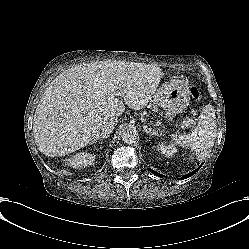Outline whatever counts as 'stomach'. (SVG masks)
Returning a JSON list of instances; mask_svg holds the SVG:
<instances>
[{"mask_svg":"<svg viewBox=\"0 0 249 249\" xmlns=\"http://www.w3.org/2000/svg\"><path fill=\"white\" fill-rule=\"evenodd\" d=\"M154 99L165 110L170 120L188 107L190 92L186 84L170 82L157 90Z\"/></svg>","mask_w":249,"mask_h":249,"instance_id":"1","label":"stomach"}]
</instances>
